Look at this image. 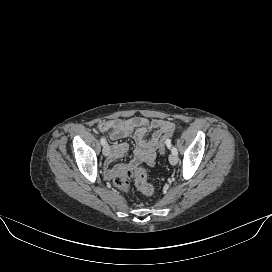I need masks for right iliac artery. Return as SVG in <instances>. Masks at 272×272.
<instances>
[{
  "instance_id": "82829eb1",
  "label": "right iliac artery",
  "mask_w": 272,
  "mask_h": 272,
  "mask_svg": "<svg viewBox=\"0 0 272 272\" xmlns=\"http://www.w3.org/2000/svg\"><path fill=\"white\" fill-rule=\"evenodd\" d=\"M100 141L103 146L106 144V139L104 137H102Z\"/></svg>"
}]
</instances>
